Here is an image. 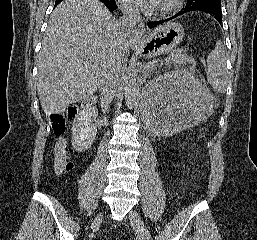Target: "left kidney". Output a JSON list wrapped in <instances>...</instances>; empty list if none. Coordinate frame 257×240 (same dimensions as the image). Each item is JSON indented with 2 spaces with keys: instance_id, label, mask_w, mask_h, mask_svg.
Segmentation results:
<instances>
[{
  "instance_id": "obj_1",
  "label": "left kidney",
  "mask_w": 257,
  "mask_h": 240,
  "mask_svg": "<svg viewBox=\"0 0 257 240\" xmlns=\"http://www.w3.org/2000/svg\"><path fill=\"white\" fill-rule=\"evenodd\" d=\"M208 92L188 72L171 71L143 89L144 116L152 133L167 137L206 119Z\"/></svg>"
}]
</instances>
